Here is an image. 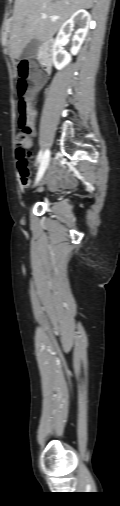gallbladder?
I'll return each mask as SVG.
<instances>
[{
  "label": "gallbladder",
  "instance_id": "gallbladder-1",
  "mask_svg": "<svg viewBox=\"0 0 120 506\" xmlns=\"http://www.w3.org/2000/svg\"><path fill=\"white\" fill-rule=\"evenodd\" d=\"M39 45L40 43L37 39H32L24 47L20 57L23 59H30L34 57L39 49Z\"/></svg>",
  "mask_w": 120,
  "mask_h": 506
}]
</instances>
